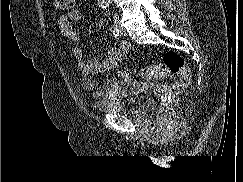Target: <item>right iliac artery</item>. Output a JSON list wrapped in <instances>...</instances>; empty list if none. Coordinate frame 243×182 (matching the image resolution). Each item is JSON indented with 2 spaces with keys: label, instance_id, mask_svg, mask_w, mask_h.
Wrapping results in <instances>:
<instances>
[{
  "label": "right iliac artery",
  "instance_id": "right-iliac-artery-1",
  "mask_svg": "<svg viewBox=\"0 0 243 182\" xmlns=\"http://www.w3.org/2000/svg\"><path fill=\"white\" fill-rule=\"evenodd\" d=\"M110 31L112 32V34L115 36V37H118L120 35V31H119V28L117 27V25H113L111 28H110Z\"/></svg>",
  "mask_w": 243,
  "mask_h": 182
}]
</instances>
